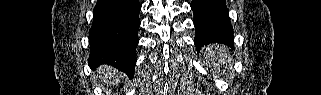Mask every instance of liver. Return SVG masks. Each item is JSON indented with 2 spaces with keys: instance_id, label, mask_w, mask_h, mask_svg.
I'll list each match as a JSON object with an SVG mask.
<instances>
[{
  "instance_id": "6515ba94",
  "label": "liver",
  "mask_w": 321,
  "mask_h": 95,
  "mask_svg": "<svg viewBox=\"0 0 321 95\" xmlns=\"http://www.w3.org/2000/svg\"><path fill=\"white\" fill-rule=\"evenodd\" d=\"M102 78L105 80L107 84L117 83L119 79L123 76L120 73H117L115 70L109 67H103L99 70Z\"/></svg>"
}]
</instances>
